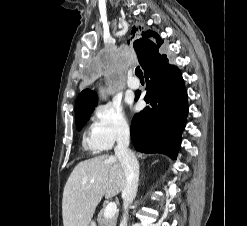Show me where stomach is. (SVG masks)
Instances as JSON below:
<instances>
[{"instance_id": "obj_1", "label": "stomach", "mask_w": 247, "mask_h": 226, "mask_svg": "<svg viewBox=\"0 0 247 226\" xmlns=\"http://www.w3.org/2000/svg\"><path fill=\"white\" fill-rule=\"evenodd\" d=\"M89 226H95L93 223L91 224V225H89Z\"/></svg>"}]
</instances>
